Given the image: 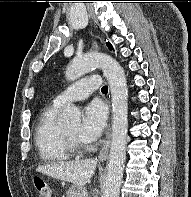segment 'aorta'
<instances>
[{"instance_id": "1", "label": "aorta", "mask_w": 191, "mask_h": 197, "mask_svg": "<svg viewBox=\"0 0 191 197\" xmlns=\"http://www.w3.org/2000/svg\"><path fill=\"white\" fill-rule=\"evenodd\" d=\"M93 68H101L107 79L112 97V142L109 154L107 180L103 197H119L126 159L128 131V88L125 73L111 56L101 53L86 54L71 61L66 69L68 81H74ZM60 122L65 126L81 124L80 111L74 105L64 108Z\"/></svg>"}]
</instances>
